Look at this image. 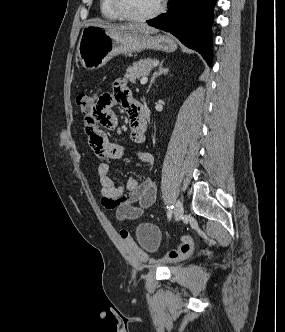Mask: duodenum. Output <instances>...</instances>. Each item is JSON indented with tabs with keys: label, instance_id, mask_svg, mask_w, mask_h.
<instances>
[{
	"label": "duodenum",
	"instance_id": "1",
	"mask_svg": "<svg viewBox=\"0 0 285 332\" xmlns=\"http://www.w3.org/2000/svg\"><path fill=\"white\" fill-rule=\"evenodd\" d=\"M142 116L145 121H147V112L146 109L141 105Z\"/></svg>",
	"mask_w": 285,
	"mask_h": 332
}]
</instances>
